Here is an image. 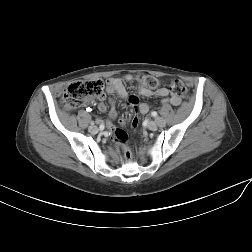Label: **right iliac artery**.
<instances>
[{
    "instance_id": "right-iliac-artery-1",
    "label": "right iliac artery",
    "mask_w": 252,
    "mask_h": 252,
    "mask_svg": "<svg viewBox=\"0 0 252 252\" xmlns=\"http://www.w3.org/2000/svg\"><path fill=\"white\" fill-rule=\"evenodd\" d=\"M99 130H100V131H103V130H104V126H103V125H100V126H99Z\"/></svg>"
}]
</instances>
